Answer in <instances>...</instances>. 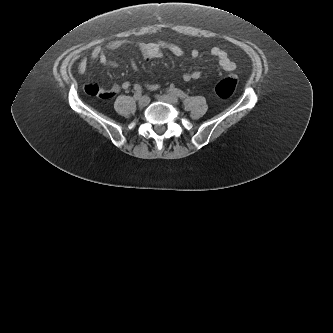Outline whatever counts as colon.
I'll use <instances>...</instances> for the list:
<instances>
[{"instance_id":"1","label":"colon","mask_w":333,"mask_h":333,"mask_svg":"<svg viewBox=\"0 0 333 333\" xmlns=\"http://www.w3.org/2000/svg\"><path fill=\"white\" fill-rule=\"evenodd\" d=\"M237 84L238 80L235 76L226 77L216 84L215 92L220 98H230L234 94Z\"/></svg>"}]
</instances>
